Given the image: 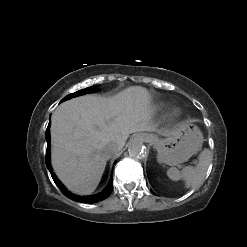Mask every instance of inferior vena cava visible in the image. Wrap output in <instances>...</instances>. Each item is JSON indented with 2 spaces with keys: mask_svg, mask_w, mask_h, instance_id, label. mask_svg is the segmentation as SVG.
I'll return each mask as SVG.
<instances>
[{
  "mask_svg": "<svg viewBox=\"0 0 247 247\" xmlns=\"http://www.w3.org/2000/svg\"><path fill=\"white\" fill-rule=\"evenodd\" d=\"M121 150V147L116 144V143H108L106 146H105V151L108 153V154H116L117 152H119Z\"/></svg>",
  "mask_w": 247,
  "mask_h": 247,
  "instance_id": "1",
  "label": "inferior vena cava"
}]
</instances>
